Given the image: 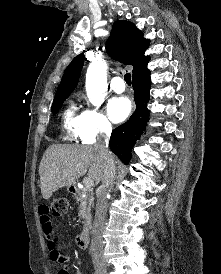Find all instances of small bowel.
Wrapping results in <instances>:
<instances>
[{"mask_svg": "<svg viewBox=\"0 0 221 274\" xmlns=\"http://www.w3.org/2000/svg\"><path fill=\"white\" fill-rule=\"evenodd\" d=\"M38 212L42 233L46 239L51 260L53 262L59 263L62 266L57 274H70L68 269L70 258L69 256L62 253L55 240L53 221L49 208L45 205H42L39 207Z\"/></svg>", "mask_w": 221, "mask_h": 274, "instance_id": "obj_1", "label": "small bowel"}]
</instances>
